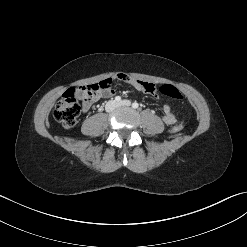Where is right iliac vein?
<instances>
[{
    "instance_id": "obj_1",
    "label": "right iliac vein",
    "mask_w": 247,
    "mask_h": 247,
    "mask_svg": "<svg viewBox=\"0 0 247 247\" xmlns=\"http://www.w3.org/2000/svg\"><path fill=\"white\" fill-rule=\"evenodd\" d=\"M117 107V103L115 101H109L106 105L107 111H113Z\"/></svg>"
}]
</instances>
